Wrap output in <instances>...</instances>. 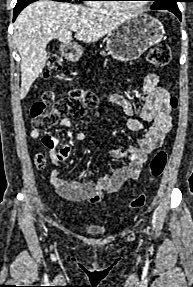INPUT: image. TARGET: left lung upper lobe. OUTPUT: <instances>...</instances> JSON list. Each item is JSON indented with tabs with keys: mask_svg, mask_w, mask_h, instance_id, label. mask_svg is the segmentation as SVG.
Masks as SVG:
<instances>
[{
	"mask_svg": "<svg viewBox=\"0 0 193 287\" xmlns=\"http://www.w3.org/2000/svg\"><path fill=\"white\" fill-rule=\"evenodd\" d=\"M154 1L151 9L159 10V9H168V8H175L177 6V2L179 0H152Z\"/></svg>",
	"mask_w": 193,
	"mask_h": 287,
	"instance_id": "obj_1",
	"label": "left lung upper lobe"
}]
</instances>
